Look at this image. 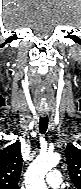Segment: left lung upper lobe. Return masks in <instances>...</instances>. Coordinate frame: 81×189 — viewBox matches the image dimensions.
Masks as SVG:
<instances>
[{
	"instance_id": "5c2ea615",
	"label": "left lung upper lobe",
	"mask_w": 81,
	"mask_h": 189,
	"mask_svg": "<svg viewBox=\"0 0 81 189\" xmlns=\"http://www.w3.org/2000/svg\"><path fill=\"white\" fill-rule=\"evenodd\" d=\"M69 176L77 189H81V150L68 145L65 150Z\"/></svg>"
}]
</instances>
